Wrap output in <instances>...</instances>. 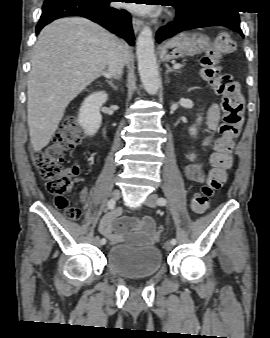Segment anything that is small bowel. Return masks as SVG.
I'll list each match as a JSON object with an SVG mask.
<instances>
[{"mask_svg":"<svg viewBox=\"0 0 270 338\" xmlns=\"http://www.w3.org/2000/svg\"><path fill=\"white\" fill-rule=\"evenodd\" d=\"M220 115V108L217 104H212L207 114V124L209 128L214 129L217 125ZM209 141H206L208 144ZM188 164L185 166V176L189 180L201 182L203 180V172L201 167L195 163V155L190 153L187 155ZM74 168L78 170V165L75 164ZM88 204V190L83 189L80 195V205L82 207ZM120 213L118 210L107 212L101 219L99 225L100 233L107 237L114 243L124 241L134 242L140 241L145 244H154L159 239V233L156 231V225L150 217H144L141 220L134 217L122 216L117 220ZM127 222L136 223L139 225L137 228H127Z\"/></svg>","mask_w":270,"mask_h":338,"instance_id":"c3829d8e","label":"small bowel"}]
</instances>
